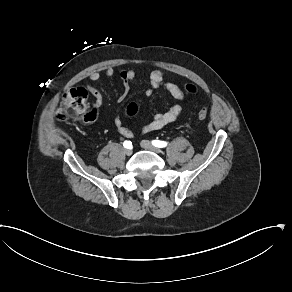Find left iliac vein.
Listing matches in <instances>:
<instances>
[{
    "label": "left iliac vein",
    "mask_w": 292,
    "mask_h": 292,
    "mask_svg": "<svg viewBox=\"0 0 292 292\" xmlns=\"http://www.w3.org/2000/svg\"><path fill=\"white\" fill-rule=\"evenodd\" d=\"M140 144H141V147L146 150H149L158 154L161 153V150L159 148L155 147L151 142L147 140H142Z\"/></svg>",
    "instance_id": "left-iliac-vein-1"
}]
</instances>
